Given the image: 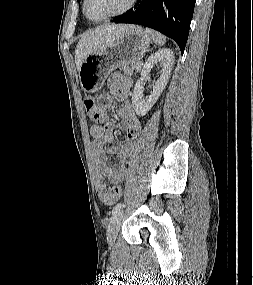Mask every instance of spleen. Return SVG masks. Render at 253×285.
<instances>
[{"label": "spleen", "instance_id": "1", "mask_svg": "<svg viewBox=\"0 0 253 285\" xmlns=\"http://www.w3.org/2000/svg\"><path fill=\"white\" fill-rule=\"evenodd\" d=\"M146 32L151 36L152 40L159 46H162L166 42V37L161 33L154 31L152 29L146 28Z\"/></svg>", "mask_w": 253, "mask_h": 285}]
</instances>
